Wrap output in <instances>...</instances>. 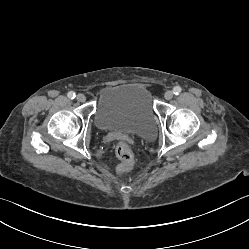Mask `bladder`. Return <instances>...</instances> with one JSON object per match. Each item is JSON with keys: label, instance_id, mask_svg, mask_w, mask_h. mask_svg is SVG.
<instances>
[{"label": "bladder", "instance_id": "obj_1", "mask_svg": "<svg viewBox=\"0 0 249 249\" xmlns=\"http://www.w3.org/2000/svg\"><path fill=\"white\" fill-rule=\"evenodd\" d=\"M95 126L150 139L156 134V112L148 91L125 83L104 88L94 113Z\"/></svg>", "mask_w": 249, "mask_h": 249}]
</instances>
